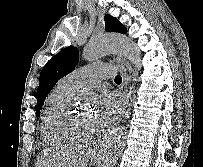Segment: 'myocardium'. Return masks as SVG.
<instances>
[{
	"mask_svg": "<svg viewBox=\"0 0 203 167\" xmlns=\"http://www.w3.org/2000/svg\"><path fill=\"white\" fill-rule=\"evenodd\" d=\"M77 95H79V93L75 94L74 99ZM60 125L63 131L74 140H87L97 133V130H83L80 128L75 109L72 105L62 117Z\"/></svg>",
	"mask_w": 203,
	"mask_h": 167,
	"instance_id": "f54148a6",
	"label": "myocardium"
}]
</instances>
